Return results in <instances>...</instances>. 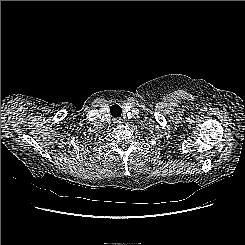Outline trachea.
Listing matches in <instances>:
<instances>
[{"label": "trachea", "instance_id": "1", "mask_svg": "<svg viewBox=\"0 0 245 245\" xmlns=\"http://www.w3.org/2000/svg\"><path fill=\"white\" fill-rule=\"evenodd\" d=\"M110 112L113 117H120L122 113V109L119 105L115 104L111 106Z\"/></svg>", "mask_w": 245, "mask_h": 245}]
</instances>
